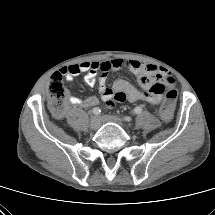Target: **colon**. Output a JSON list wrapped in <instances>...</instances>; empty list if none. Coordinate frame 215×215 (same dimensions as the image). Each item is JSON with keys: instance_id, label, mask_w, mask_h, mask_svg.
I'll return each instance as SVG.
<instances>
[{"instance_id": "1", "label": "colon", "mask_w": 215, "mask_h": 215, "mask_svg": "<svg viewBox=\"0 0 215 215\" xmlns=\"http://www.w3.org/2000/svg\"><path fill=\"white\" fill-rule=\"evenodd\" d=\"M166 82L169 86L173 84L171 78H166ZM152 89L154 92L162 94L165 87L161 84H155ZM67 94L68 91L63 83L62 75L59 73L52 75L48 84L49 106L56 116H60L63 113ZM176 99V89L169 87L159 108L160 115L158 116V121L162 125H169L173 121L172 110L176 103Z\"/></svg>"}]
</instances>
